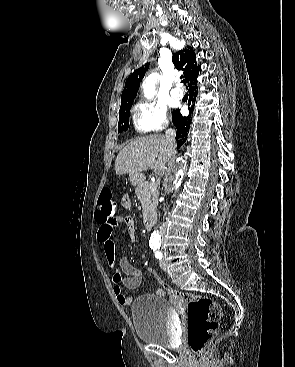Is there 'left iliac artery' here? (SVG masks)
Segmentation results:
<instances>
[{"label":"left iliac artery","instance_id":"left-iliac-artery-1","mask_svg":"<svg viewBox=\"0 0 295 367\" xmlns=\"http://www.w3.org/2000/svg\"><path fill=\"white\" fill-rule=\"evenodd\" d=\"M152 250L154 252V255L157 259H162L163 255L161 253V251L159 250V247H152Z\"/></svg>","mask_w":295,"mask_h":367}]
</instances>
